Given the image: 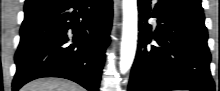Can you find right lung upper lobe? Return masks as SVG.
<instances>
[{"label":"right lung upper lobe","instance_id":"right-lung-upper-lobe-1","mask_svg":"<svg viewBox=\"0 0 220 91\" xmlns=\"http://www.w3.org/2000/svg\"><path fill=\"white\" fill-rule=\"evenodd\" d=\"M36 1H38L37 3H39V4H43V3H47V2H52L53 0H36ZM27 8H29V6H27ZM25 9H26V7H25Z\"/></svg>","mask_w":220,"mask_h":91}]
</instances>
